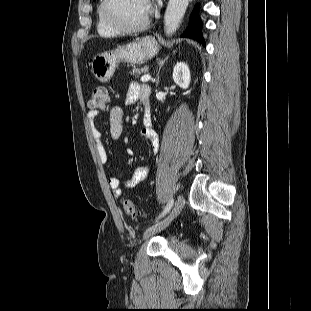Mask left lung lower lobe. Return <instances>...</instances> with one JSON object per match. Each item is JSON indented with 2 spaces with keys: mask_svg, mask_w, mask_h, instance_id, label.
Returning <instances> with one entry per match:
<instances>
[{
  "mask_svg": "<svg viewBox=\"0 0 311 311\" xmlns=\"http://www.w3.org/2000/svg\"><path fill=\"white\" fill-rule=\"evenodd\" d=\"M201 27L202 23L198 15V6H196L190 15L189 25L182 34V37L192 38L205 46L204 39L201 34Z\"/></svg>",
  "mask_w": 311,
  "mask_h": 311,
  "instance_id": "obj_1",
  "label": "left lung lower lobe"
}]
</instances>
